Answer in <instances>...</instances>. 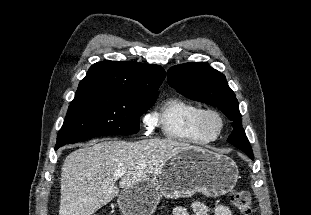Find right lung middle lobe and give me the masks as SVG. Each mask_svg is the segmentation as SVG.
<instances>
[{
	"instance_id": "1",
	"label": "right lung middle lobe",
	"mask_w": 311,
	"mask_h": 215,
	"mask_svg": "<svg viewBox=\"0 0 311 215\" xmlns=\"http://www.w3.org/2000/svg\"><path fill=\"white\" fill-rule=\"evenodd\" d=\"M156 99L103 90H77L55 149L97 136L135 134L139 131L140 116Z\"/></svg>"
}]
</instances>
